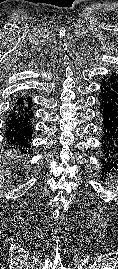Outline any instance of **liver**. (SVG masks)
<instances>
[{"mask_svg":"<svg viewBox=\"0 0 118 269\" xmlns=\"http://www.w3.org/2000/svg\"><path fill=\"white\" fill-rule=\"evenodd\" d=\"M5 156H7L8 159H9V157H10V159H13V158H21V156H17L16 151H15V154L12 153V152H9Z\"/></svg>","mask_w":118,"mask_h":269,"instance_id":"6515ba94","label":"liver"}]
</instances>
